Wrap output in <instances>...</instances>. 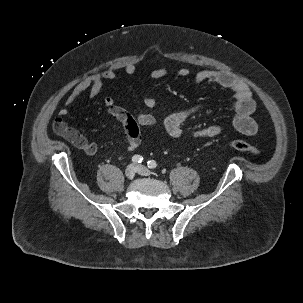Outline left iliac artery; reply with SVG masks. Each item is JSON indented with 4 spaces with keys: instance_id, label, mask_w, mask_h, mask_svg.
Instances as JSON below:
<instances>
[{
    "instance_id": "44dca946",
    "label": "left iliac artery",
    "mask_w": 303,
    "mask_h": 303,
    "mask_svg": "<svg viewBox=\"0 0 303 303\" xmlns=\"http://www.w3.org/2000/svg\"><path fill=\"white\" fill-rule=\"evenodd\" d=\"M147 164H148V167L151 168V169H155L157 167V163L154 160L148 161Z\"/></svg>"
}]
</instances>
